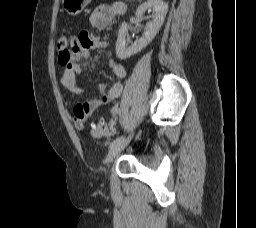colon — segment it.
I'll return each mask as SVG.
<instances>
[{"instance_id":"5ec220e1","label":"colon","mask_w":256,"mask_h":228,"mask_svg":"<svg viewBox=\"0 0 256 228\" xmlns=\"http://www.w3.org/2000/svg\"><path fill=\"white\" fill-rule=\"evenodd\" d=\"M66 45H67V37H65V36L59 37L58 41H57L58 48L59 49L64 48V47H66ZM108 125H109V123L105 120H101L100 122L93 124L92 128H91V134L94 137L102 136L103 134H105L107 132Z\"/></svg>"}]
</instances>
